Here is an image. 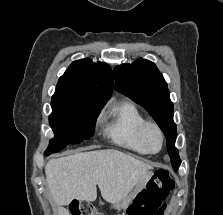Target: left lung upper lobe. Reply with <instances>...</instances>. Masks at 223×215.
<instances>
[{
    "label": "left lung upper lobe",
    "instance_id": "obj_1",
    "mask_svg": "<svg viewBox=\"0 0 223 215\" xmlns=\"http://www.w3.org/2000/svg\"><path fill=\"white\" fill-rule=\"evenodd\" d=\"M116 89L142 105L159 125L167 139L173 168H179V151L174 147L177 132L173 121V103L167 83L156 65L145 59L122 64L114 69Z\"/></svg>",
    "mask_w": 223,
    "mask_h": 215
}]
</instances>
